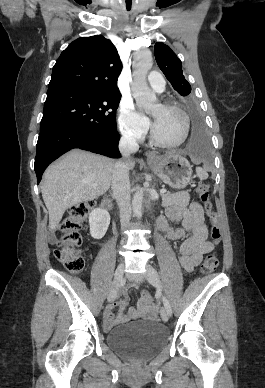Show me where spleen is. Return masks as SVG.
Returning <instances> with one entry per match:
<instances>
[{
  "instance_id": "obj_1",
  "label": "spleen",
  "mask_w": 265,
  "mask_h": 388,
  "mask_svg": "<svg viewBox=\"0 0 265 388\" xmlns=\"http://www.w3.org/2000/svg\"><path fill=\"white\" fill-rule=\"evenodd\" d=\"M196 172H197L199 178H202V180H203V178H206V174H205L204 170H202V168H196Z\"/></svg>"
}]
</instances>
